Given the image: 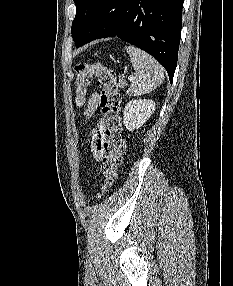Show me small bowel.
<instances>
[{
    "mask_svg": "<svg viewBox=\"0 0 233 286\" xmlns=\"http://www.w3.org/2000/svg\"><path fill=\"white\" fill-rule=\"evenodd\" d=\"M99 94L93 93L87 103L85 117L93 116L98 109ZM106 140L105 126L102 121H99L96 127L91 131V152L93 157L100 161L105 155L104 142Z\"/></svg>",
    "mask_w": 233,
    "mask_h": 286,
    "instance_id": "small-bowel-1",
    "label": "small bowel"
}]
</instances>
